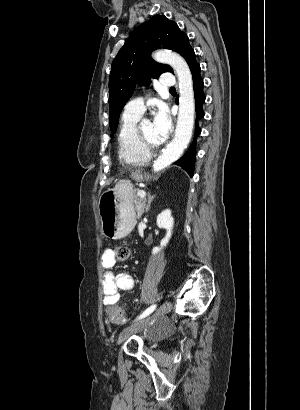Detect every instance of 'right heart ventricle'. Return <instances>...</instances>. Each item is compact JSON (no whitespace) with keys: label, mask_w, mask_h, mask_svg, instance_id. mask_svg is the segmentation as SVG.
<instances>
[{"label":"right heart ventricle","mask_w":300,"mask_h":410,"mask_svg":"<svg viewBox=\"0 0 300 410\" xmlns=\"http://www.w3.org/2000/svg\"><path fill=\"white\" fill-rule=\"evenodd\" d=\"M141 114L125 111L117 134L118 156L121 162L130 165H144L150 159V152L144 150L136 136V127Z\"/></svg>","instance_id":"e07e8e85"}]
</instances>
